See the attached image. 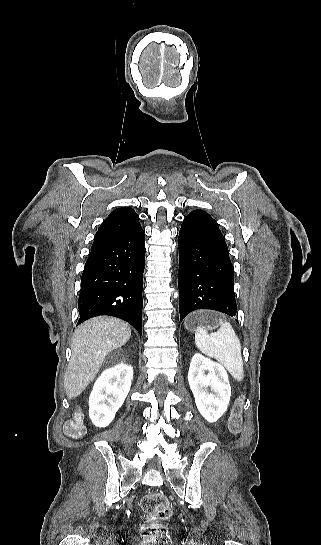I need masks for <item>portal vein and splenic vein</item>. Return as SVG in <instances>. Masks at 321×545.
I'll list each match as a JSON object with an SVG mask.
<instances>
[{
  "instance_id": "1",
  "label": "portal vein and splenic vein",
  "mask_w": 321,
  "mask_h": 545,
  "mask_svg": "<svg viewBox=\"0 0 321 545\" xmlns=\"http://www.w3.org/2000/svg\"><path fill=\"white\" fill-rule=\"evenodd\" d=\"M220 344H223V341H220Z\"/></svg>"
}]
</instances>
